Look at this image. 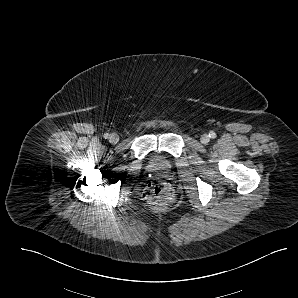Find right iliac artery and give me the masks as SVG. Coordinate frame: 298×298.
Listing matches in <instances>:
<instances>
[{
    "label": "right iliac artery",
    "instance_id": "right-iliac-artery-1",
    "mask_svg": "<svg viewBox=\"0 0 298 298\" xmlns=\"http://www.w3.org/2000/svg\"><path fill=\"white\" fill-rule=\"evenodd\" d=\"M108 137H109V134L108 133H105L104 134V138L107 139Z\"/></svg>",
    "mask_w": 298,
    "mask_h": 298
}]
</instances>
